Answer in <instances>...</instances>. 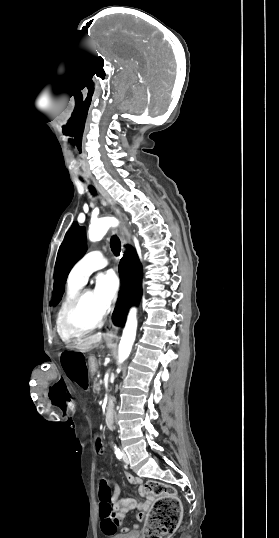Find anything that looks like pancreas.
Returning a JSON list of instances; mask_svg holds the SVG:
<instances>
[{"label": "pancreas", "instance_id": "1", "mask_svg": "<svg viewBox=\"0 0 279 538\" xmlns=\"http://www.w3.org/2000/svg\"><path fill=\"white\" fill-rule=\"evenodd\" d=\"M94 392H99L100 390V384H97V378H94Z\"/></svg>", "mask_w": 279, "mask_h": 538}]
</instances>
